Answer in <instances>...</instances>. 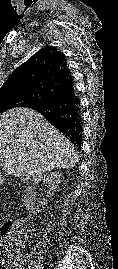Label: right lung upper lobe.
I'll list each match as a JSON object with an SVG mask.
<instances>
[{"label":"right lung upper lobe","instance_id":"right-lung-upper-lobe-1","mask_svg":"<svg viewBox=\"0 0 118 269\" xmlns=\"http://www.w3.org/2000/svg\"><path fill=\"white\" fill-rule=\"evenodd\" d=\"M73 83L64 54L46 46L13 71L2 86L0 97L30 95L42 102Z\"/></svg>","mask_w":118,"mask_h":269}]
</instances>
